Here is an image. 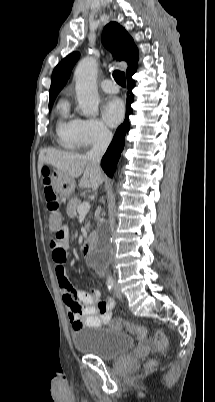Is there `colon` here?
Segmentation results:
<instances>
[{
  "instance_id": "colon-1",
  "label": "colon",
  "mask_w": 215,
  "mask_h": 402,
  "mask_svg": "<svg viewBox=\"0 0 215 402\" xmlns=\"http://www.w3.org/2000/svg\"><path fill=\"white\" fill-rule=\"evenodd\" d=\"M41 178L46 179L49 176L47 167H42L40 173ZM45 203L48 211V226L51 230H60V214L59 202L53 189L50 187L49 182H45L44 189ZM110 326L114 329H126L128 332L135 335L138 339H146V330L140 325L125 322L121 319H114ZM154 343L158 350H164L168 345V339L164 332L157 331L154 336Z\"/></svg>"
}]
</instances>
